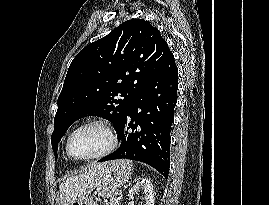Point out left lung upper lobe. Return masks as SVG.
I'll list each match as a JSON object with an SVG mask.
<instances>
[{"label": "left lung upper lobe", "instance_id": "left-lung-upper-lobe-1", "mask_svg": "<svg viewBox=\"0 0 269 205\" xmlns=\"http://www.w3.org/2000/svg\"><path fill=\"white\" fill-rule=\"evenodd\" d=\"M171 54L160 31L131 19L83 48L71 62L51 136L55 159L68 127L87 114H99L116 130L138 94L159 73Z\"/></svg>", "mask_w": 269, "mask_h": 205}]
</instances>
